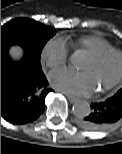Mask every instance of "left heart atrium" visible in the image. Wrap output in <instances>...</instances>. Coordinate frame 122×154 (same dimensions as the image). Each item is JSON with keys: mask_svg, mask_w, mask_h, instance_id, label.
I'll return each mask as SVG.
<instances>
[{"mask_svg": "<svg viewBox=\"0 0 122 154\" xmlns=\"http://www.w3.org/2000/svg\"><path fill=\"white\" fill-rule=\"evenodd\" d=\"M51 85L63 93L73 96H89L94 91L90 75L72 69H59L49 75Z\"/></svg>", "mask_w": 122, "mask_h": 154, "instance_id": "obj_1", "label": "left heart atrium"}]
</instances>
